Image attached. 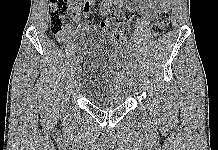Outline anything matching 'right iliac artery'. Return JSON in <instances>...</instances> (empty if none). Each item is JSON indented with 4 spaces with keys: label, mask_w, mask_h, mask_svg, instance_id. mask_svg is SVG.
Segmentation results:
<instances>
[{
    "label": "right iliac artery",
    "mask_w": 218,
    "mask_h": 150,
    "mask_svg": "<svg viewBox=\"0 0 218 150\" xmlns=\"http://www.w3.org/2000/svg\"><path fill=\"white\" fill-rule=\"evenodd\" d=\"M78 61H79V57H76V58L74 59V64L76 63V65H77Z\"/></svg>",
    "instance_id": "obj_1"
}]
</instances>
